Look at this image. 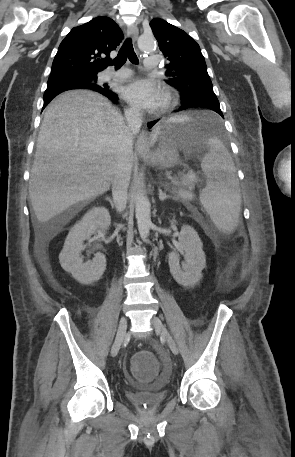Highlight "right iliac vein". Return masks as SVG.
<instances>
[{
    "instance_id": "1",
    "label": "right iliac vein",
    "mask_w": 295,
    "mask_h": 457,
    "mask_svg": "<svg viewBox=\"0 0 295 457\" xmlns=\"http://www.w3.org/2000/svg\"><path fill=\"white\" fill-rule=\"evenodd\" d=\"M126 329H127V319L123 316L120 319L116 338H115V341H114L112 349H111V355L113 357H115L119 352V349L125 339Z\"/></svg>"
}]
</instances>
